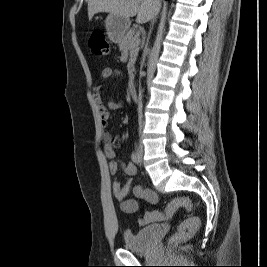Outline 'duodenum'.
Returning a JSON list of instances; mask_svg holds the SVG:
<instances>
[{"label": "duodenum", "instance_id": "duodenum-1", "mask_svg": "<svg viewBox=\"0 0 267 267\" xmlns=\"http://www.w3.org/2000/svg\"><path fill=\"white\" fill-rule=\"evenodd\" d=\"M129 93L133 99L137 98V90L133 79L129 83Z\"/></svg>", "mask_w": 267, "mask_h": 267}]
</instances>
